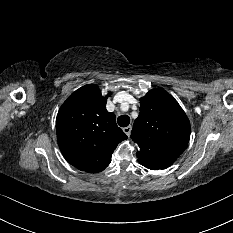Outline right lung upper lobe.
<instances>
[{
	"mask_svg": "<svg viewBox=\"0 0 233 233\" xmlns=\"http://www.w3.org/2000/svg\"><path fill=\"white\" fill-rule=\"evenodd\" d=\"M107 96L96 85H85L60 107L56 133L64 158L89 173L103 171L117 145L127 139L117 126L115 115L106 110Z\"/></svg>",
	"mask_w": 233,
	"mask_h": 233,
	"instance_id": "right-lung-upper-lobe-1",
	"label": "right lung upper lobe"
}]
</instances>
